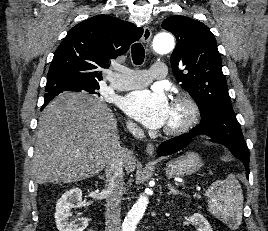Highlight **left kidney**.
I'll return each mask as SVG.
<instances>
[{
    "label": "left kidney",
    "mask_w": 268,
    "mask_h": 231,
    "mask_svg": "<svg viewBox=\"0 0 268 231\" xmlns=\"http://www.w3.org/2000/svg\"><path fill=\"white\" fill-rule=\"evenodd\" d=\"M189 221L192 223V225H195L197 227L198 231H213L209 222L200 213L191 215L189 217Z\"/></svg>",
    "instance_id": "obj_1"
}]
</instances>
